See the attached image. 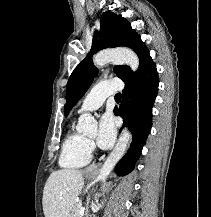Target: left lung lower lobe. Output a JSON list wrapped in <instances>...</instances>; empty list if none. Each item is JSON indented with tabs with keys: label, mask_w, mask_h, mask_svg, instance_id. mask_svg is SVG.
Instances as JSON below:
<instances>
[{
	"label": "left lung lower lobe",
	"mask_w": 211,
	"mask_h": 217,
	"mask_svg": "<svg viewBox=\"0 0 211 217\" xmlns=\"http://www.w3.org/2000/svg\"><path fill=\"white\" fill-rule=\"evenodd\" d=\"M159 78L156 65L145 68L135 78L125 82L122 104L114 114L124 119L133 137L131 147L119 161L116 172L120 176L130 173L139 158L151 130L152 106L158 92Z\"/></svg>",
	"instance_id": "0a47b994"
}]
</instances>
